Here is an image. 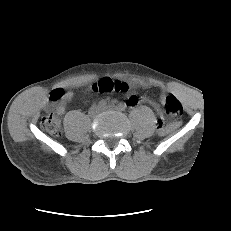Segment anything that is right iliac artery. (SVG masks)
Segmentation results:
<instances>
[{
  "mask_svg": "<svg viewBox=\"0 0 231 231\" xmlns=\"http://www.w3.org/2000/svg\"><path fill=\"white\" fill-rule=\"evenodd\" d=\"M114 103H116V101H114ZM106 105H107V102H106L105 100H101V101L99 102V106H100V107H106Z\"/></svg>",
  "mask_w": 231,
  "mask_h": 231,
  "instance_id": "82829eb1",
  "label": "right iliac artery"
}]
</instances>
